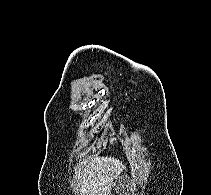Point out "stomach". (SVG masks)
Returning <instances> with one entry per match:
<instances>
[{"mask_svg":"<svg viewBox=\"0 0 211 195\" xmlns=\"http://www.w3.org/2000/svg\"><path fill=\"white\" fill-rule=\"evenodd\" d=\"M119 181H120V184H121V185L125 183L123 179H120ZM119 181H118L117 183H119ZM125 184H126V183H125ZM116 186H117V184H116Z\"/></svg>","mask_w":211,"mask_h":195,"instance_id":"0dacf381","label":"stomach"}]
</instances>
